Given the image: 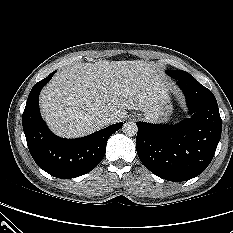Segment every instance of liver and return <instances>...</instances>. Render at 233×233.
I'll return each instance as SVG.
<instances>
[{
	"label": "liver",
	"instance_id": "6515ba94",
	"mask_svg": "<svg viewBox=\"0 0 233 233\" xmlns=\"http://www.w3.org/2000/svg\"><path fill=\"white\" fill-rule=\"evenodd\" d=\"M168 87L156 68L140 60L78 63L58 72L42 90L40 107L50 129L77 138L105 126L96 119L122 120L126 110H141L156 120Z\"/></svg>",
	"mask_w": 233,
	"mask_h": 233
}]
</instances>
